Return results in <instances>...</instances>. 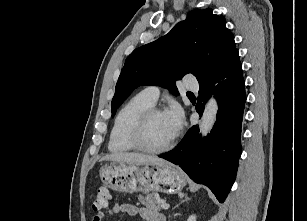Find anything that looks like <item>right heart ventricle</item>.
<instances>
[{"label": "right heart ventricle", "mask_w": 307, "mask_h": 221, "mask_svg": "<svg viewBox=\"0 0 307 221\" xmlns=\"http://www.w3.org/2000/svg\"><path fill=\"white\" fill-rule=\"evenodd\" d=\"M154 106L142 93L131 98L118 111L111 129L108 149L112 153H125L134 150L130 140L132 127L138 116Z\"/></svg>", "instance_id": "right-heart-ventricle-1"}]
</instances>
